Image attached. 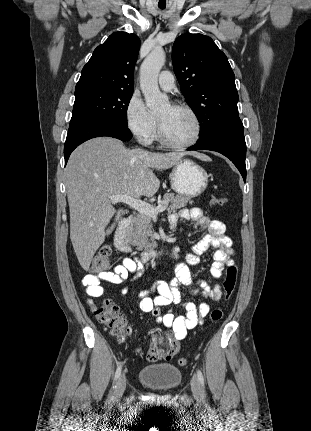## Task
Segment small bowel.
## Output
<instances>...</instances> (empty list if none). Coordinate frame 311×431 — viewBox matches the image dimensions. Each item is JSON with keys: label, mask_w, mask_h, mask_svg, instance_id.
<instances>
[{"label": "small bowel", "mask_w": 311, "mask_h": 431, "mask_svg": "<svg viewBox=\"0 0 311 431\" xmlns=\"http://www.w3.org/2000/svg\"><path fill=\"white\" fill-rule=\"evenodd\" d=\"M180 220L192 221L195 228L206 231L207 234L194 245L192 252L186 255L185 262H180L175 266V277L172 280L156 281L149 289L138 293L140 310L150 313L157 323L170 330L166 334L167 338L176 340L185 338L187 331L201 324L210 311V306L207 303L196 305L192 302H185L182 304L184 314L175 315L172 309L162 314V307L182 302V292L179 286L191 287V293L209 300H219L222 296L219 285L210 286L202 281L195 283L189 266L196 265L200 255L210 248H215L211 274L215 279H220L224 274L225 267L234 264L232 258L235 254L232 239L225 235L226 228L221 221L211 220L199 208L182 209L171 214L169 217L170 227L174 229ZM141 271L142 266L138 261L126 257L121 264L114 266L110 271H103L94 276L86 275L82 284L85 286V291L89 297H100L104 294L100 282L121 284L128 279L130 274ZM154 292H157V295L152 297L151 294ZM88 303L91 309L95 310V305L90 298Z\"/></svg>", "instance_id": "c3829d8e"}]
</instances>
